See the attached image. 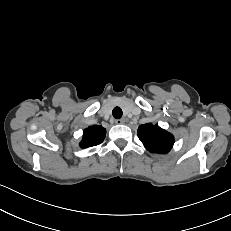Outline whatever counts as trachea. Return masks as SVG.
<instances>
[{"mask_svg": "<svg viewBox=\"0 0 231 231\" xmlns=\"http://www.w3.org/2000/svg\"><path fill=\"white\" fill-rule=\"evenodd\" d=\"M112 114L115 119H120L122 117V109L120 107H115Z\"/></svg>", "mask_w": 231, "mask_h": 231, "instance_id": "trachea-1", "label": "trachea"}]
</instances>
